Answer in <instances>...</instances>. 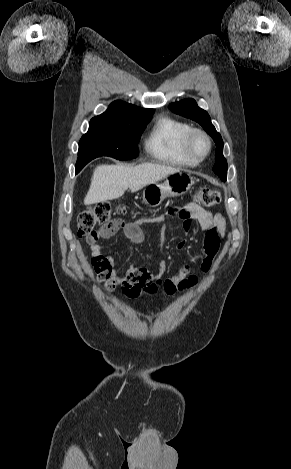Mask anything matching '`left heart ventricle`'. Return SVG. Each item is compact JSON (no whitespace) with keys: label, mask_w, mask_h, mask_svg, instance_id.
I'll return each instance as SVG.
<instances>
[{"label":"left heart ventricle","mask_w":291,"mask_h":469,"mask_svg":"<svg viewBox=\"0 0 291 469\" xmlns=\"http://www.w3.org/2000/svg\"><path fill=\"white\" fill-rule=\"evenodd\" d=\"M206 149V141L200 136L196 137L194 140V150L196 151V153L203 154L205 153Z\"/></svg>","instance_id":"obj_1"}]
</instances>
